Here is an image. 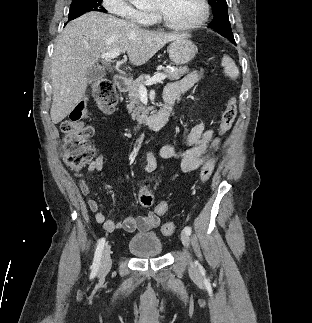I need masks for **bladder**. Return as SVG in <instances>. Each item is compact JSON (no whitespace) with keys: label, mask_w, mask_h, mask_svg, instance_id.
Segmentation results:
<instances>
[{"label":"bladder","mask_w":312,"mask_h":323,"mask_svg":"<svg viewBox=\"0 0 312 323\" xmlns=\"http://www.w3.org/2000/svg\"><path fill=\"white\" fill-rule=\"evenodd\" d=\"M128 250L134 257H156L163 252V244L156 233H144L130 237Z\"/></svg>","instance_id":"31cf9c89"}]
</instances>
